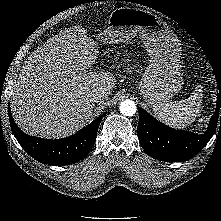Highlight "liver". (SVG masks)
Segmentation results:
<instances>
[{
  "instance_id": "1",
  "label": "liver",
  "mask_w": 221,
  "mask_h": 221,
  "mask_svg": "<svg viewBox=\"0 0 221 221\" xmlns=\"http://www.w3.org/2000/svg\"><path fill=\"white\" fill-rule=\"evenodd\" d=\"M97 43L82 26L54 36L24 62L15 82L11 111L25 133L64 138L90 120L95 104L91 94L109 96L116 79L110 72H87L98 57Z\"/></svg>"
}]
</instances>
